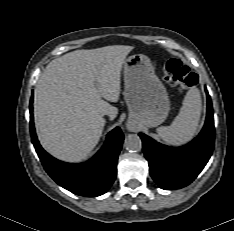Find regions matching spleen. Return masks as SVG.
<instances>
[{
  "label": "spleen",
  "mask_w": 234,
  "mask_h": 231,
  "mask_svg": "<svg viewBox=\"0 0 234 231\" xmlns=\"http://www.w3.org/2000/svg\"><path fill=\"white\" fill-rule=\"evenodd\" d=\"M202 102L199 90L191 88L185 95L179 114L170 126L157 129L160 138L169 145L181 146L196 134L201 116Z\"/></svg>",
  "instance_id": "obj_1"
}]
</instances>
